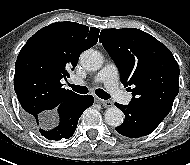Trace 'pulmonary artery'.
Returning <instances> with one entry per match:
<instances>
[{
	"mask_svg": "<svg viewBox=\"0 0 190 165\" xmlns=\"http://www.w3.org/2000/svg\"><path fill=\"white\" fill-rule=\"evenodd\" d=\"M73 83L83 84L79 78H73ZM94 81L96 83H103L110 94L120 102H128L130 96L127 95L118 85V69L114 64L105 65L96 75Z\"/></svg>",
	"mask_w": 190,
	"mask_h": 165,
	"instance_id": "obj_1",
	"label": "pulmonary artery"
}]
</instances>
